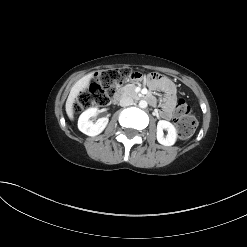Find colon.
<instances>
[{"instance_id": "obj_1", "label": "colon", "mask_w": 247, "mask_h": 247, "mask_svg": "<svg viewBox=\"0 0 247 247\" xmlns=\"http://www.w3.org/2000/svg\"><path fill=\"white\" fill-rule=\"evenodd\" d=\"M127 71L129 69H106L97 72L90 86L82 90L76 98L73 104L74 111L81 112L89 107L108 105L115 93L116 85L127 80ZM174 121L180 138L186 139L193 135L197 121L184 100L177 103Z\"/></svg>"}]
</instances>
